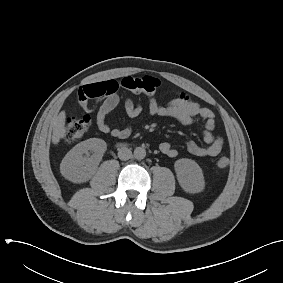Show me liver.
<instances>
[{"instance_id": "6515ba94", "label": "liver", "mask_w": 283, "mask_h": 283, "mask_svg": "<svg viewBox=\"0 0 283 283\" xmlns=\"http://www.w3.org/2000/svg\"><path fill=\"white\" fill-rule=\"evenodd\" d=\"M65 119H66L65 111H61L53 121V133H52L53 144H58L60 142V139L64 138L66 135Z\"/></svg>"}]
</instances>
